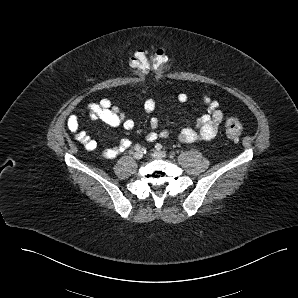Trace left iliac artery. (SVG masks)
Returning <instances> with one entry per match:
<instances>
[{
    "label": "left iliac artery",
    "instance_id": "44dca946",
    "mask_svg": "<svg viewBox=\"0 0 298 298\" xmlns=\"http://www.w3.org/2000/svg\"><path fill=\"white\" fill-rule=\"evenodd\" d=\"M155 148H156L157 150H160V149H162V145H161L160 143H157V144L155 145Z\"/></svg>",
    "mask_w": 298,
    "mask_h": 298
}]
</instances>
